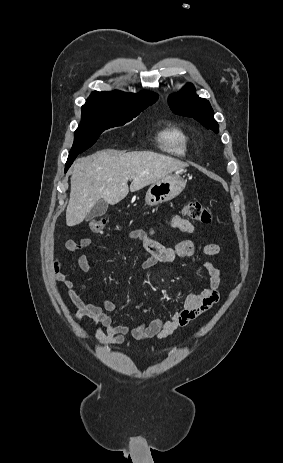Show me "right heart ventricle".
<instances>
[{"label":"right heart ventricle","mask_w":283,"mask_h":463,"mask_svg":"<svg viewBox=\"0 0 283 463\" xmlns=\"http://www.w3.org/2000/svg\"><path fill=\"white\" fill-rule=\"evenodd\" d=\"M160 148L175 156H184L188 151L189 136L178 124H171L157 137Z\"/></svg>","instance_id":"right-heart-ventricle-1"}]
</instances>
